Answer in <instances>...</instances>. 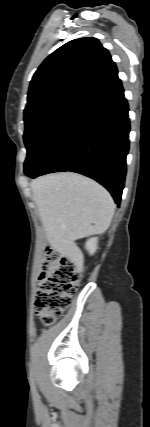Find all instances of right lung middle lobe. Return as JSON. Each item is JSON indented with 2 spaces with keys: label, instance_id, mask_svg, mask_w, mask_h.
Listing matches in <instances>:
<instances>
[{
  "label": "right lung middle lobe",
  "instance_id": "obj_1",
  "mask_svg": "<svg viewBox=\"0 0 150 427\" xmlns=\"http://www.w3.org/2000/svg\"><path fill=\"white\" fill-rule=\"evenodd\" d=\"M79 108L74 105L55 104L24 115V142L27 148L24 172L27 176L36 169Z\"/></svg>",
  "mask_w": 150,
  "mask_h": 427
}]
</instances>
